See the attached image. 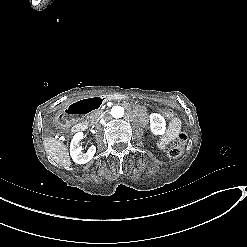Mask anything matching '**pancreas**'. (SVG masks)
Wrapping results in <instances>:
<instances>
[{
	"instance_id": "cf45deb5",
	"label": "pancreas",
	"mask_w": 247,
	"mask_h": 247,
	"mask_svg": "<svg viewBox=\"0 0 247 247\" xmlns=\"http://www.w3.org/2000/svg\"><path fill=\"white\" fill-rule=\"evenodd\" d=\"M102 113H103V111H93V112H91L90 115H89V117H88L90 123L93 124L94 121L97 119V117H99L100 115H102Z\"/></svg>"
}]
</instances>
